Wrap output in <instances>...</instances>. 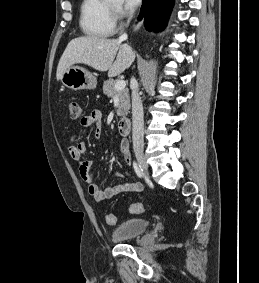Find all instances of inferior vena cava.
<instances>
[{"mask_svg": "<svg viewBox=\"0 0 259 283\" xmlns=\"http://www.w3.org/2000/svg\"><path fill=\"white\" fill-rule=\"evenodd\" d=\"M127 35L123 34L121 39L126 38ZM130 86L132 89V138L134 149H143L144 146V114L141 98L138 93V83L137 80L132 77L130 81Z\"/></svg>", "mask_w": 259, "mask_h": 283, "instance_id": "602c4592", "label": "inferior vena cava"}]
</instances>
